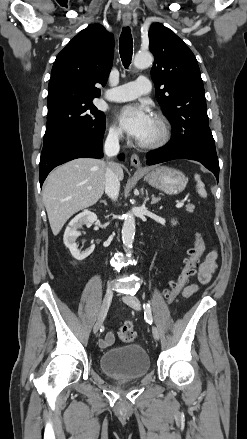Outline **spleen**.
<instances>
[{
	"label": "spleen",
	"instance_id": "obj_1",
	"mask_svg": "<svg viewBox=\"0 0 247 439\" xmlns=\"http://www.w3.org/2000/svg\"><path fill=\"white\" fill-rule=\"evenodd\" d=\"M194 178L197 181L196 189H197L198 194L201 197L206 198L207 197V192L205 190L204 183L200 179V175L199 174H195Z\"/></svg>",
	"mask_w": 247,
	"mask_h": 439
}]
</instances>
